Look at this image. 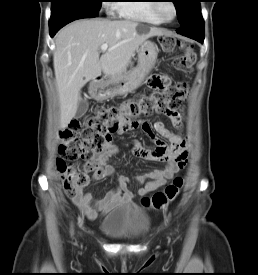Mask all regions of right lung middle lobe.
Segmentation results:
<instances>
[{
  "label": "right lung middle lobe",
  "mask_w": 258,
  "mask_h": 275,
  "mask_svg": "<svg viewBox=\"0 0 258 275\" xmlns=\"http://www.w3.org/2000/svg\"><path fill=\"white\" fill-rule=\"evenodd\" d=\"M103 0H52L51 15L64 12H82L98 15Z\"/></svg>",
  "instance_id": "obj_1"
}]
</instances>
